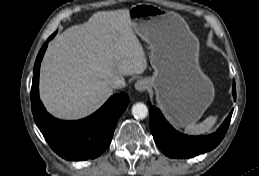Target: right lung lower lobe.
<instances>
[{"label":"right lung lower lobe","instance_id":"right-lung-lower-lobe-1","mask_svg":"<svg viewBox=\"0 0 259 176\" xmlns=\"http://www.w3.org/2000/svg\"><path fill=\"white\" fill-rule=\"evenodd\" d=\"M55 34L44 43L34 65L31 88L34 120L52 150L62 158L74 161L93 159L110 145L117 121L129 98L125 93L111 96L98 111L78 121H61L52 117L39 98V70L48 42Z\"/></svg>","mask_w":259,"mask_h":176}]
</instances>
